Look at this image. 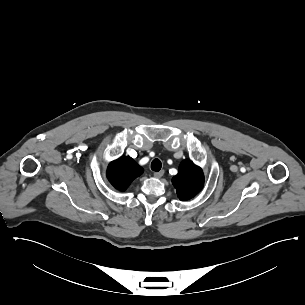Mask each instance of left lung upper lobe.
<instances>
[{
  "instance_id": "5c2ea615",
  "label": "left lung upper lobe",
  "mask_w": 305,
  "mask_h": 305,
  "mask_svg": "<svg viewBox=\"0 0 305 305\" xmlns=\"http://www.w3.org/2000/svg\"><path fill=\"white\" fill-rule=\"evenodd\" d=\"M172 183L176 188L180 200H189L196 196L203 188L204 175L200 167L190 160H183L178 174L173 177Z\"/></svg>"
}]
</instances>
